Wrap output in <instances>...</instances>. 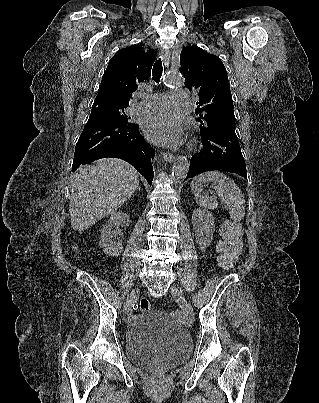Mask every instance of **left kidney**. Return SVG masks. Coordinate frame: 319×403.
Instances as JSON below:
<instances>
[{
  "label": "left kidney",
  "mask_w": 319,
  "mask_h": 403,
  "mask_svg": "<svg viewBox=\"0 0 319 403\" xmlns=\"http://www.w3.org/2000/svg\"><path fill=\"white\" fill-rule=\"evenodd\" d=\"M192 222L195 229L196 242L201 250L208 247L213 239L215 230L214 218L212 214L204 209H196L192 215Z\"/></svg>",
  "instance_id": "left-kidney-1"
}]
</instances>
